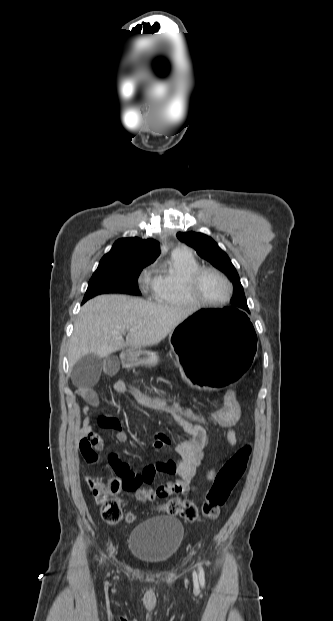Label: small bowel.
Here are the masks:
<instances>
[{"mask_svg": "<svg viewBox=\"0 0 333 621\" xmlns=\"http://www.w3.org/2000/svg\"><path fill=\"white\" fill-rule=\"evenodd\" d=\"M107 367H114V362H108ZM114 388L118 394H124V391L118 382L115 384ZM77 395L85 403L82 406L84 417L80 430L79 448L85 461L89 464H94L98 461V453L103 448V440L99 432L93 429L91 419L88 417L87 413L89 406L95 407L98 405V397L95 390L90 385L80 387L77 390ZM178 424L187 435V438L181 441L176 447L178 454L182 458V461L179 464H176L173 460L168 459L150 464L146 466L142 472H135L127 463L121 461L115 455H111L110 464L113 469L124 467L136 475L137 486L132 492H134L138 500L154 501L158 498H167L172 495H184L196 488L194 478L196 476L197 469L204 458V452L208 444V435L202 424L190 422H179ZM98 426L103 429L115 431L119 441L124 442L127 440V435L123 431L120 421L114 417L101 416L98 420ZM227 428V441L230 445H235L237 439L232 425ZM168 445H170V439L166 435H154L153 447L155 449L159 450L167 447ZM160 474L176 475L178 478L175 480H169L153 488L143 486L144 484H152L155 477ZM215 475V469L211 468L207 473V479L213 480Z\"/></svg>", "mask_w": 333, "mask_h": 621, "instance_id": "1", "label": "small bowel"}]
</instances>
